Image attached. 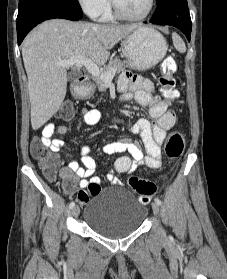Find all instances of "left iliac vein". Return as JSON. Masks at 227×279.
Returning a JSON list of instances; mask_svg holds the SVG:
<instances>
[{
    "instance_id": "left-iliac-vein-1",
    "label": "left iliac vein",
    "mask_w": 227,
    "mask_h": 279,
    "mask_svg": "<svg viewBox=\"0 0 227 279\" xmlns=\"http://www.w3.org/2000/svg\"><path fill=\"white\" fill-rule=\"evenodd\" d=\"M152 208H153L154 213L159 217V215H160V205L157 204L156 202H154L152 204ZM161 232H163V231L161 230Z\"/></svg>"
}]
</instances>
